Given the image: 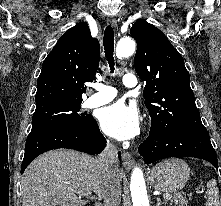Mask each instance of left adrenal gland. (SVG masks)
Returning a JSON list of instances; mask_svg holds the SVG:
<instances>
[{"mask_svg":"<svg viewBox=\"0 0 221 206\" xmlns=\"http://www.w3.org/2000/svg\"><path fill=\"white\" fill-rule=\"evenodd\" d=\"M161 205H165L164 202L161 201V199L159 197H157V203L156 206H161Z\"/></svg>","mask_w":221,"mask_h":206,"instance_id":"a2214340","label":"left adrenal gland"}]
</instances>
